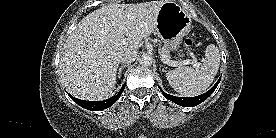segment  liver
Returning <instances> with one entry per match:
<instances>
[{
    "mask_svg": "<svg viewBox=\"0 0 276 138\" xmlns=\"http://www.w3.org/2000/svg\"><path fill=\"white\" fill-rule=\"evenodd\" d=\"M167 1L116 3L84 17L61 54L60 75L67 91L85 100L108 98L115 88L120 53L143 45L156 30L159 9Z\"/></svg>",
    "mask_w": 276,
    "mask_h": 138,
    "instance_id": "liver-1",
    "label": "liver"
}]
</instances>
